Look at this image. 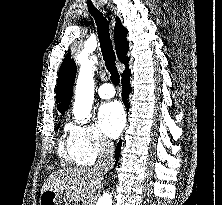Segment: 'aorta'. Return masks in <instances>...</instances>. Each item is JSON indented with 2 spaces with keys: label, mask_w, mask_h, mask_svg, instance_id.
I'll return each instance as SVG.
<instances>
[{
  "label": "aorta",
  "mask_w": 222,
  "mask_h": 205,
  "mask_svg": "<svg viewBox=\"0 0 222 205\" xmlns=\"http://www.w3.org/2000/svg\"><path fill=\"white\" fill-rule=\"evenodd\" d=\"M94 69L95 61L86 59L82 62L75 88L73 114L76 121L83 122L91 115L94 101ZM113 198L109 191L103 193L97 205H112Z\"/></svg>",
  "instance_id": "762f6f07"
}]
</instances>
